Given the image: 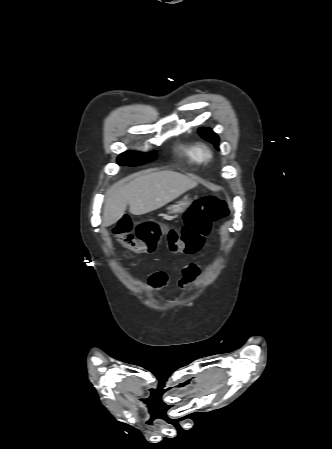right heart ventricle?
<instances>
[{"label": "right heart ventricle", "instance_id": "1", "mask_svg": "<svg viewBox=\"0 0 332 449\" xmlns=\"http://www.w3.org/2000/svg\"><path fill=\"white\" fill-rule=\"evenodd\" d=\"M177 153L188 163L199 165L202 162L200 145L194 142H181L177 145Z\"/></svg>", "mask_w": 332, "mask_h": 449}]
</instances>
